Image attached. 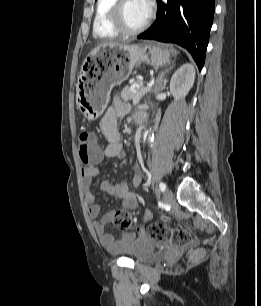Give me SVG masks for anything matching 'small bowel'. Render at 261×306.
I'll use <instances>...</instances> for the list:
<instances>
[{
    "mask_svg": "<svg viewBox=\"0 0 261 306\" xmlns=\"http://www.w3.org/2000/svg\"><path fill=\"white\" fill-rule=\"evenodd\" d=\"M130 111V105L127 102L116 98L113 105L107 109L100 121V129L107 141L102 152L101 158L124 159L126 152L121 142V136L118 128V121L124 118ZM100 158V160H101ZM94 163L84 165L82 168L84 194L87 202L89 217L93 220V229L100 242L113 253L124 252L134 246L138 241L133 233H124L119 239H115L111 234L106 233V225L111 222L112 211L106 212L98 220L100 215V205L96 201L93 190V178L98 176L100 169ZM142 162L139 160L134 165L133 186L141 183ZM101 189L109 195L115 196L122 203V206L128 210L137 208L138 201L135 192L131 191L126 181L104 180L101 183Z\"/></svg>",
    "mask_w": 261,
    "mask_h": 306,
    "instance_id": "1",
    "label": "small bowel"
}]
</instances>
